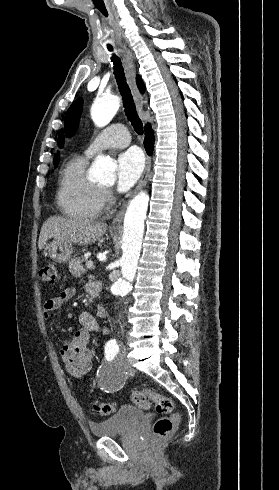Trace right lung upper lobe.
<instances>
[{"instance_id":"cb5924a9","label":"right lung upper lobe","mask_w":279,"mask_h":490,"mask_svg":"<svg viewBox=\"0 0 279 490\" xmlns=\"http://www.w3.org/2000/svg\"><path fill=\"white\" fill-rule=\"evenodd\" d=\"M137 84H138V88L141 90V93H143L145 87H144V84H143L141 78L138 75H137ZM146 125H148V124H146ZM58 144H59L60 147H62V145H63V134H62V131L60 132V135H59ZM58 162H59V155L56 154L55 155V158H54V165L57 166Z\"/></svg>"}]
</instances>
